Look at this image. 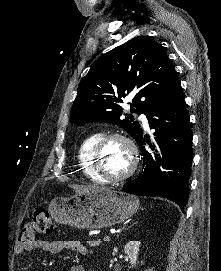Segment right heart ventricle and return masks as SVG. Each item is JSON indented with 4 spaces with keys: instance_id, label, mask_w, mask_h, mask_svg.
<instances>
[{
    "instance_id": "obj_1",
    "label": "right heart ventricle",
    "mask_w": 221,
    "mask_h": 271,
    "mask_svg": "<svg viewBox=\"0 0 221 271\" xmlns=\"http://www.w3.org/2000/svg\"><path fill=\"white\" fill-rule=\"evenodd\" d=\"M100 135L101 132L96 131L85 136L79 144L77 158L81 168H84V179H93V181H98V183H107V178H102V176H99V171H95L94 155L91 154V151L95 150V145L100 142Z\"/></svg>"
}]
</instances>
